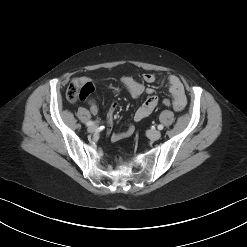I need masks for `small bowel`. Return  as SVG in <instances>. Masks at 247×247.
Segmentation results:
<instances>
[{"label": "small bowel", "instance_id": "1", "mask_svg": "<svg viewBox=\"0 0 247 247\" xmlns=\"http://www.w3.org/2000/svg\"><path fill=\"white\" fill-rule=\"evenodd\" d=\"M143 80L146 83H154L156 81V75L152 73H145L143 75ZM73 83H76L80 86L89 84L94 88V85L91 82V79L86 76L75 78L73 80ZM121 84L129 92V94L134 98H138L144 94L148 95L146 100L135 111L134 120L141 121L145 119L146 117H148L153 112V110L158 104V98L155 95H153L154 89L152 87H146L143 83L129 76H124L121 79ZM168 85H169L170 93L172 95V101L174 104V108L177 111H181L185 107L186 102H187L184 85L181 79L176 75H171L168 78ZM89 109L93 115L97 114L98 106L94 100H89ZM116 110H117V104L114 102L112 103L109 109V115L112 116L116 112ZM132 132H133V127L129 126L125 132L113 134L112 139L118 140L120 138L129 136L130 134H132Z\"/></svg>", "mask_w": 247, "mask_h": 247}]
</instances>
